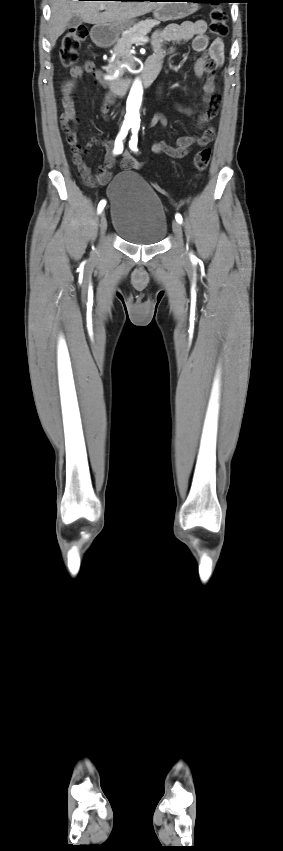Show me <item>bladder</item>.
<instances>
[{"label":"bladder","instance_id":"1","mask_svg":"<svg viewBox=\"0 0 283 851\" xmlns=\"http://www.w3.org/2000/svg\"><path fill=\"white\" fill-rule=\"evenodd\" d=\"M114 231L136 245H154L166 236L164 206L156 191L137 173L121 172L109 184Z\"/></svg>","mask_w":283,"mask_h":851}]
</instances>
